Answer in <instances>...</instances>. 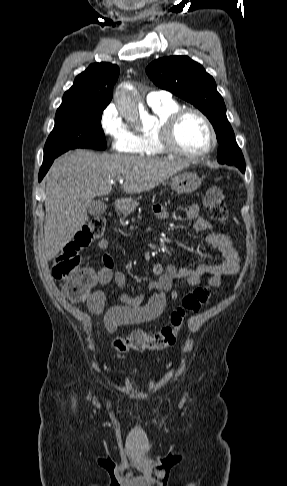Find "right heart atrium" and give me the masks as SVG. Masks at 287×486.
<instances>
[{
    "instance_id": "1",
    "label": "right heart atrium",
    "mask_w": 287,
    "mask_h": 486,
    "mask_svg": "<svg viewBox=\"0 0 287 486\" xmlns=\"http://www.w3.org/2000/svg\"><path fill=\"white\" fill-rule=\"evenodd\" d=\"M100 126L108 137L111 148L116 152L135 153L138 147L136 134L122 118L114 104L104 108L100 116Z\"/></svg>"
}]
</instances>
